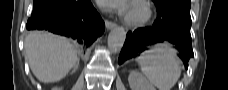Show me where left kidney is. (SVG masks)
Segmentation results:
<instances>
[{"instance_id": "left-kidney-1", "label": "left kidney", "mask_w": 228, "mask_h": 90, "mask_svg": "<svg viewBox=\"0 0 228 90\" xmlns=\"http://www.w3.org/2000/svg\"><path fill=\"white\" fill-rule=\"evenodd\" d=\"M128 82L131 90H156L155 87L139 72H130Z\"/></svg>"}]
</instances>
